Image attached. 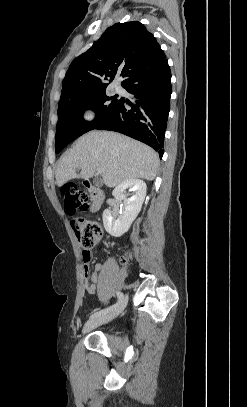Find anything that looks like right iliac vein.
Segmentation results:
<instances>
[{"instance_id": "obj_1", "label": "right iliac vein", "mask_w": 247, "mask_h": 407, "mask_svg": "<svg viewBox=\"0 0 247 407\" xmlns=\"http://www.w3.org/2000/svg\"><path fill=\"white\" fill-rule=\"evenodd\" d=\"M127 304V298H125L120 305H118L115 309H113L112 311L108 312L107 314L101 315L97 318H93L91 320H89L88 322L85 323V325L83 326L82 332L86 333L89 332L90 330L101 326L111 320H113L114 318H116L125 308Z\"/></svg>"}]
</instances>
